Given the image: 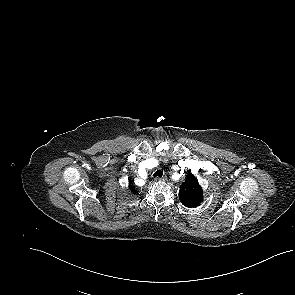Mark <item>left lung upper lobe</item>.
<instances>
[{"mask_svg":"<svg viewBox=\"0 0 295 295\" xmlns=\"http://www.w3.org/2000/svg\"><path fill=\"white\" fill-rule=\"evenodd\" d=\"M179 200L189 208L199 206L203 200L202 187L191 171L187 172L185 181L180 186Z\"/></svg>","mask_w":295,"mask_h":295,"instance_id":"1","label":"left lung upper lobe"}]
</instances>
